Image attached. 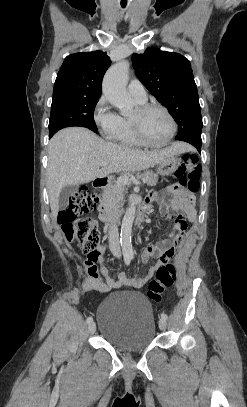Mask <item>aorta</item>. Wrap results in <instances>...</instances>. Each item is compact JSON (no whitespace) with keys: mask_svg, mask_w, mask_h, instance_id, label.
Here are the masks:
<instances>
[{"mask_svg":"<svg viewBox=\"0 0 247 407\" xmlns=\"http://www.w3.org/2000/svg\"><path fill=\"white\" fill-rule=\"evenodd\" d=\"M129 74V63L122 61L111 67L105 74L102 84L106 99L117 107L122 115L129 114L133 109V102L126 91ZM136 213V201L133 199L128 207L121 225V246L124 256H132L131 244L132 225Z\"/></svg>","mask_w":247,"mask_h":407,"instance_id":"1","label":"aorta"}]
</instances>
